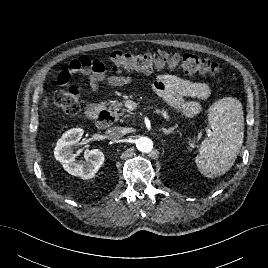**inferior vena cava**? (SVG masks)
<instances>
[{
	"label": "inferior vena cava",
	"instance_id": "1",
	"mask_svg": "<svg viewBox=\"0 0 268 268\" xmlns=\"http://www.w3.org/2000/svg\"><path fill=\"white\" fill-rule=\"evenodd\" d=\"M123 131L121 127L113 126L106 130V137L111 140H118L122 138Z\"/></svg>",
	"mask_w": 268,
	"mask_h": 268
}]
</instances>
